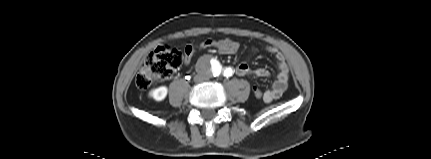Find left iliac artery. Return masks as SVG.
Listing matches in <instances>:
<instances>
[{
    "instance_id": "1",
    "label": "left iliac artery",
    "mask_w": 431,
    "mask_h": 159,
    "mask_svg": "<svg viewBox=\"0 0 431 159\" xmlns=\"http://www.w3.org/2000/svg\"><path fill=\"white\" fill-rule=\"evenodd\" d=\"M224 76H226V77H229V76H231L232 75V70H231V68H226L225 70H224Z\"/></svg>"
}]
</instances>
